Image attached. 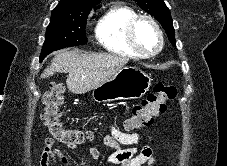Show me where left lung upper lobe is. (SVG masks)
<instances>
[{
    "mask_svg": "<svg viewBox=\"0 0 227 166\" xmlns=\"http://www.w3.org/2000/svg\"><path fill=\"white\" fill-rule=\"evenodd\" d=\"M144 11L152 15L164 28L168 39L175 46L173 21L163 0H134Z\"/></svg>",
    "mask_w": 227,
    "mask_h": 166,
    "instance_id": "left-lung-upper-lobe-1",
    "label": "left lung upper lobe"
}]
</instances>
